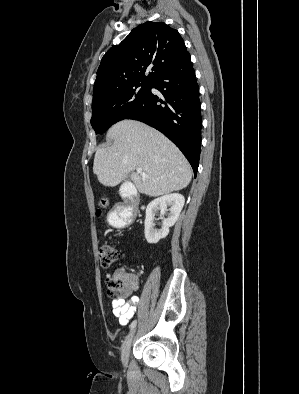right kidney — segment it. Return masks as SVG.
Listing matches in <instances>:
<instances>
[{"label": "right kidney", "mask_w": 299, "mask_h": 394, "mask_svg": "<svg viewBox=\"0 0 299 394\" xmlns=\"http://www.w3.org/2000/svg\"><path fill=\"white\" fill-rule=\"evenodd\" d=\"M185 199L184 196L179 193H172L164 195L162 197L156 198L151 201L146 208V218H145V238L148 243L156 244L160 239L165 238L169 233V228L172 227L177 221L180 212L184 206ZM169 208V215L163 220L162 227L156 230L154 227V218L158 211L161 215Z\"/></svg>", "instance_id": "obj_1"}]
</instances>
